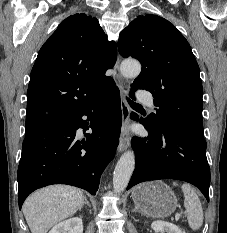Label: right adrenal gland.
Instances as JSON below:
<instances>
[{
    "label": "right adrenal gland",
    "mask_w": 227,
    "mask_h": 233,
    "mask_svg": "<svg viewBox=\"0 0 227 233\" xmlns=\"http://www.w3.org/2000/svg\"><path fill=\"white\" fill-rule=\"evenodd\" d=\"M84 204L87 205L89 208H91V205H90L89 201L87 200V198H85Z\"/></svg>",
    "instance_id": "2a0ac1e0"
}]
</instances>
